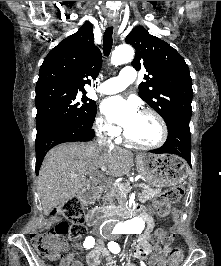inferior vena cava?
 Masks as SVG:
<instances>
[{
  "label": "inferior vena cava",
  "instance_id": "inferior-vena-cava-1",
  "mask_svg": "<svg viewBox=\"0 0 221 266\" xmlns=\"http://www.w3.org/2000/svg\"><path fill=\"white\" fill-rule=\"evenodd\" d=\"M101 134V133H100ZM106 140L103 136L99 135V140L98 143L99 144H105ZM112 145H110L109 147L111 148Z\"/></svg>",
  "mask_w": 221,
  "mask_h": 266
}]
</instances>
